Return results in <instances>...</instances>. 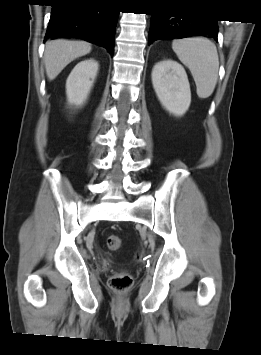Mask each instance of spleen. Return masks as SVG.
Masks as SVG:
<instances>
[{
	"label": "spleen",
	"mask_w": 261,
	"mask_h": 355,
	"mask_svg": "<svg viewBox=\"0 0 261 355\" xmlns=\"http://www.w3.org/2000/svg\"><path fill=\"white\" fill-rule=\"evenodd\" d=\"M172 49L179 60L189 68L199 98L212 95L218 80L219 57L216 46L203 37L177 39Z\"/></svg>",
	"instance_id": "obj_1"
}]
</instances>
